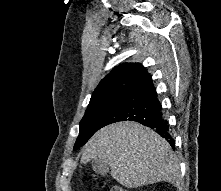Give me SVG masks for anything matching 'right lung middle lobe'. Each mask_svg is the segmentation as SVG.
<instances>
[{"instance_id":"right-lung-middle-lobe-1","label":"right lung middle lobe","mask_w":221,"mask_h":191,"mask_svg":"<svg viewBox=\"0 0 221 191\" xmlns=\"http://www.w3.org/2000/svg\"><path fill=\"white\" fill-rule=\"evenodd\" d=\"M120 99L88 106L80 122V132L74 150L84 145L88 139L101 128L102 123Z\"/></svg>"}]
</instances>
